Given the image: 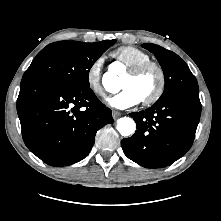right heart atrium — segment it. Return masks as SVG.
<instances>
[{"label": "right heart atrium", "instance_id": "obj_1", "mask_svg": "<svg viewBox=\"0 0 221 221\" xmlns=\"http://www.w3.org/2000/svg\"><path fill=\"white\" fill-rule=\"evenodd\" d=\"M104 57H96L87 67L85 79L90 90L97 96H104L105 90L102 85V70Z\"/></svg>", "mask_w": 221, "mask_h": 221}]
</instances>
